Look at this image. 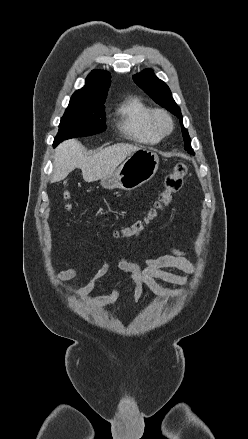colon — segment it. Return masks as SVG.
<instances>
[{
	"instance_id": "colon-1",
	"label": "colon",
	"mask_w": 248,
	"mask_h": 439,
	"mask_svg": "<svg viewBox=\"0 0 248 439\" xmlns=\"http://www.w3.org/2000/svg\"><path fill=\"white\" fill-rule=\"evenodd\" d=\"M187 174V165L178 163L173 172L166 177L164 189L147 215L127 228L114 231L112 237L116 240H127L139 236L150 224L158 219L160 214L171 203L173 194L181 188L183 179ZM63 199L66 202V209H70V195L68 191L63 192Z\"/></svg>"
}]
</instances>
